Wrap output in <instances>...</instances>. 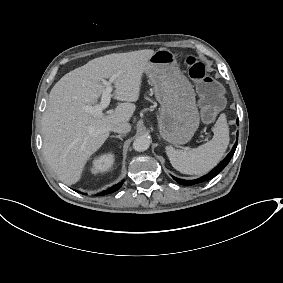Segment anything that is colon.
<instances>
[{"label": "colon", "mask_w": 283, "mask_h": 283, "mask_svg": "<svg viewBox=\"0 0 283 283\" xmlns=\"http://www.w3.org/2000/svg\"><path fill=\"white\" fill-rule=\"evenodd\" d=\"M190 77L196 82L200 96L202 117L212 121L224 106L223 89L207 72L205 65L195 56L186 58Z\"/></svg>", "instance_id": "obj_1"}]
</instances>
